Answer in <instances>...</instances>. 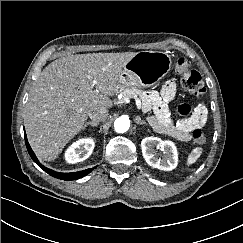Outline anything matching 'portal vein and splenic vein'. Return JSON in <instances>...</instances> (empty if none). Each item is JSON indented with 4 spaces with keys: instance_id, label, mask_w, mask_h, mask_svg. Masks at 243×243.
Returning a JSON list of instances; mask_svg holds the SVG:
<instances>
[{
    "instance_id": "18ae733b",
    "label": "portal vein and splenic vein",
    "mask_w": 243,
    "mask_h": 243,
    "mask_svg": "<svg viewBox=\"0 0 243 243\" xmlns=\"http://www.w3.org/2000/svg\"><path fill=\"white\" fill-rule=\"evenodd\" d=\"M129 99L128 98H124L122 99L121 101H118V103H129ZM135 101H136V106H137V109H140L141 108V100L139 98H135Z\"/></svg>"
}]
</instances>
